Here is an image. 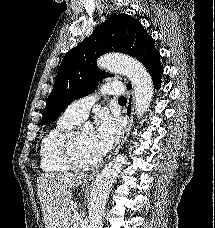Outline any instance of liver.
I'll list each match as a JSON object with an SVG mask.
<instances>
[{
  "mask_svg": "<svg viewBox=\"0 0 215 228\" xmlns=\"http://www.w3.org/2000/svg\"><path fill=\"white\" fill-rule=\"evenodd\" d=\"M82 174H41L37 178L45 228H69L72 188L82 184Z\"/></svg>",
  "mask_w": 215,
  "mask_h": 228,
  "instance_id": "obj_1",
  "label": "liver"
}]
</instances>
